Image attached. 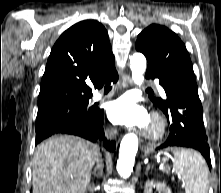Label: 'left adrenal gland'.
Wrapping results in <instances>:
<instances>
[{"label":"left adrenal gland","mask_w":221,"mask_h":193,"mask_svg":"<svg viewBox=\"0 0 221 193\" xmlns=\"http://www.w3.org/2000/svg\"><path fill=\"white\" fill-rule=\"evenodd\" d=\"M149 170H150V166H147L145 173H147Z\"/></svg>","instance_id":"obj_1"}]
</instances>
